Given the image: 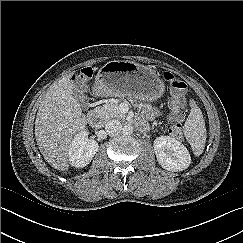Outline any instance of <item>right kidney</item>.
I'll return each instance as SVG.
<instances>
[{"instance_id": "1", "label": "right kidney", "mask_w": 243, "mask_h": 243, "mask_svg": "<svg viewBox=\"0 0 243 243\" xmlns=\"http://www.w3.org/2000/svg\"><path fill=\"white\" fill-rule=\"evenodd\" d=\"M98 148V143L88 138V132L81 130L75 134L70 145L68 152L70 164L76 168L87 166L97 153Z\"/></svg>"}]
</instances>
